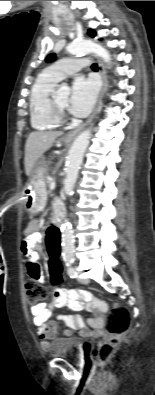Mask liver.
I'll use <instances>...</instances> for the list:
<instances>
[{
    "instance_id": "1",
    "label": "liver",
    "mask_w": 155,
    "mask_h": 395,
    "mask_svg": "<svg viewBox=\"0 0 155 395\" xmlns=\"http://www.w3.org/2000/svg\"><path fill=\"white\" fill-rule=\"evenodd\" d=\"M61 131H35L29 134L25 145V173L30 176L37 160L62 136Z\"/></svg>"
}]
</instances>
